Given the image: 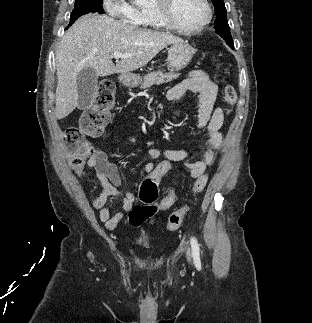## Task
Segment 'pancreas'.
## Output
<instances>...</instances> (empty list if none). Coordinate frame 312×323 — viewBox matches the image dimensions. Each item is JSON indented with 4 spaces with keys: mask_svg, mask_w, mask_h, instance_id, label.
Instances as JSON below:
<instances>
[{
    "mask_svg": "<svg viewBox=\"0 0 312 323\" xmlns=\"http://www.w3.org/2000/svg\"><path fill=\"white\" fill-rule=\"evenodd\" d=\"M180 74L178 72H168V74H163V72H151V74H147L145 76L140 88L142 90H146V88H151L153 84H166V82H172V80H176Z\"/></svg>",
    "mask_w": 312,
    "mask_h": 323,
    "instance_id": "1",
    "label": "pancreas"
}]
</instances>
